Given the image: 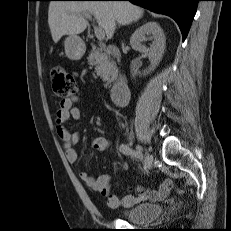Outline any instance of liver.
<instances>
[{"label": "liver", "mask_w": 231, "mask_h": 231, "mask_svg": "<svg viewBox=\"0 0 231 231\" xmlns=\"http://www.w3.org/2000/svg\"><path fill=\"white\" fill-rule=\"evenodd\" d=\"M85 14L94 15L107 39H111L114 23L128 25L137 21L142 17L143 9L128 1H51L48 24L53 41L58 42L64 35L82 33L88 25Z\"/></svg>", "instance_id": "1"}]
</instances>
